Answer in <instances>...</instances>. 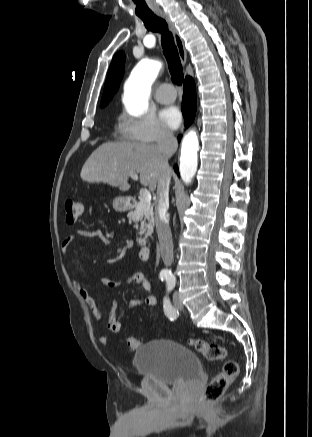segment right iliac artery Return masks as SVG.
Listing matches in <instances>:
<instances>
[{
	"label": "right iliac artery",
	"instance_id": "1",
	"mask_svg": "<svg viewBox=\"0 0 312 437\" xmlns=\"http://www.w3.org/2000/svg\"><path fill=\"white\" fill-rule=\"evenodd\" d=\"M160 277H161V279H164L166 276L165 275H161Z\"/></svg>",
	"mask_w": 312,
	"mask_h": 437
}]
</instances>
